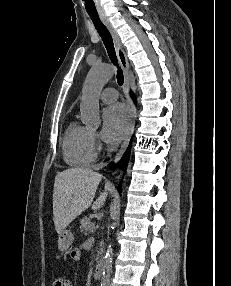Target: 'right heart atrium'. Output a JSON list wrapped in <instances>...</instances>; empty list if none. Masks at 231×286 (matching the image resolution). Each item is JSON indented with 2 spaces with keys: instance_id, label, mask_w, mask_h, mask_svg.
<instances>
[{
  "instance_id": "obj_1",
  "label": "right heart atrium",
  "mask_w": 231,
  "mask_h": 286,
  "mask_svg": "<svg viewBox=\"0 0 231 286\" xmlns=\"http://www.w3.org/2000/svg\"><path fill=\"white\" fill-rule=\"evenodd\" d=\"M93 140H94V142H97V141H98V137H97L96 134H93Z\"/></svg>"
}]
</instances>
